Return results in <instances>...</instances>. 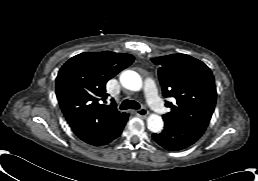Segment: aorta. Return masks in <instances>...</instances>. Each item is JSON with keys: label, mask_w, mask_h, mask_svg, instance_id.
Here are the masks:
<instances>
[{"label": "aorta", "mask_w": 258, "mask_h": 181, "mask_svg": "<svg viewBox=\"0 0 258 181\" xmlns=\"http://www.w3.org/2000/svg\"><path fill=\"white\" fill-rule=\"evenodd\" d=\"M120 82L122 86L131 91H139L142 88V79L140 75L132 70L123 71L120 75ZM163 120L157 114H151L147 118V126L149 130L158 133L163 129Z\"/></svg>", "instance_id": "aorta-1"}]
</instances>
